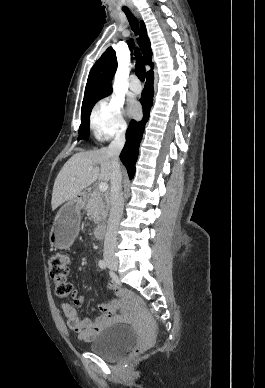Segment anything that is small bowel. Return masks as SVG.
<instances>
[{
    "label": "small bowel",
    "mask_w": 265,
    "mask_h": 388,
    "mask_svg": "<svg viewBox=\"0 0 265 388\" xmlns=\"http://www.w3.org/2000/svg\"><path fill=\"white\" fill-rule=\"evenodd\" d=\"M108 287L114 292V299L112 302L98 305L101 314L94 322L79 317L76 306L83 302V296L73 290L72 302H64L61 305L66 321H59V329L62 332L69 329L75 332L80 340L91 341L105 326L123 321L125 316L118 311L128 304V296L114 281H110Z\"/></svg>",
    "instance_id": "obj_1"
}]
</instances>
